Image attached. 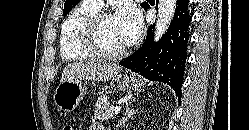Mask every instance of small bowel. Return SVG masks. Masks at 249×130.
<instances>
[{"label": "small bowel", "instance_id": "small-bowel-1", "mask_svg": "<svg viewBox=\"0 0 249 130\" xmlns=\"http://www.w3.org/2000/svg\"><path fill=\"white\" fill-rule=\"evenodd\" d=\"M89 130H103V127L99 122L92 120L89 125Z\"/></svg>", "mask_w": 249, "mask_h": 130}]
</instances>
